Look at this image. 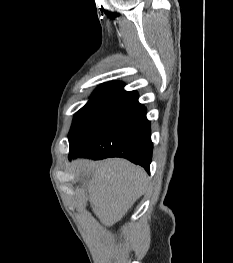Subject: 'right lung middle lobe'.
<instances>
[{
	"label": "right lung middle lobe",
	"instance_id": "dd1d6c3e",
	"mask_svg": "<svg viewBox=\"0 0 233 263\" xmlns=\"http://www.w3.org/2000/svg\"><path fill=\"white\" fill-rule=\"evenodd\" d=\"M118 97L92 95L88 103L74 116L69 141H76L88 132L111 108Z\"/></svg>",
	"mask_w": 233,
	"mask_h": 263
}]
</instances>
